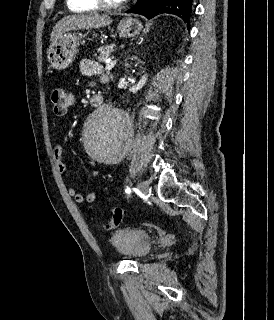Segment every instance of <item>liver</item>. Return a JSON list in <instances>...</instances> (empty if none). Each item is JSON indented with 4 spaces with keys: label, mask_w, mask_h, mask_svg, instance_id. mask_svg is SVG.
Here are the masks:
<instances>
[{
    "label": "liver",
    "mask_w": 274,
    "mask_h": 320,
    "mask_svg": "<svg viewBox=\"0 0 274 320\" xmlns=\"http://www.w3.org/2000/svg\"><path fill=\"white\" fill-rule=\"evenodd\" d=\"M113 20L105 14H77V16H65L57 22L50 34V42H56L61 34L69 32V30H91V28H105L110 26Z\"/></svg>",
    "instance_id": "1"
}]
</instances>
